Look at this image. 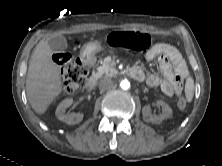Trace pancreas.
Wrapping results in <instances>:
<instances>
[{"instance_id": "obj_1", "label": "pancreas", "mask_w": 222, "mask_h": 166, "mask_svg": "<svg viewBox=\"0 0 222 166\" xmlns=\"http://www.w3.org/2000/svg\"><path fill=\"white\" fill-rule=\"evenodd\" d=\"M116 73L115 62L110 56L106 57L102 61V65L97 68V74L99 76L111 77Z\"/></svg>"}]
</instances>
